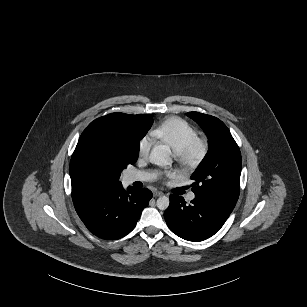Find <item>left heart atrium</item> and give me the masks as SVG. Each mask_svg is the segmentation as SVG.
<instances>
[{"mask_svg":"<svg viewBox=\"0 0 307 307\" xmlns=\"http://www.w3.org/2000/svg\"><path fill=\"white\" fill-rule=\"evenodd\" d=\"M158 180L167 181L179 176V171L173 167H157L154 171Z\"/></svg>","mask_w":307,"mask_h":307,"instance_id":"1","label":"left heart atrium"}]
</instances>
